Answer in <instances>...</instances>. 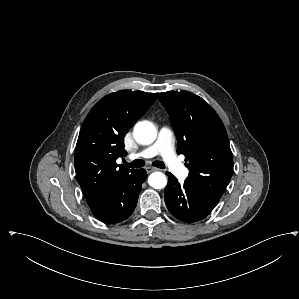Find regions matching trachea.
Masks as SVG:
<instances>
[{"label":"trachea","mask_w":299,"mask_h":299,"mask_svg":"<svg viewBox=\"0 0 299 299\" xmlns=\"http://www.w3.org/2000/svg\"><path fill=\"white\" fill-rule=\"evenodd\" d=\"M124 164L127 165L128 167H131V168H140V167H143L145 165V162L141 159H136V160H134L133 162H130V163L124 161ZM153 165L155 167H158V168H161V169L165 168V164L162 161H154Z\"/></svg>","instance_id":"trachea-1"}]
</instances>
